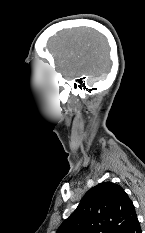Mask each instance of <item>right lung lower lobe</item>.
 I'll list each match as a JSON object with an SVG mask.
<instances>
[{"label": "right lung lower lobe", "mask_w": 145, "mask_h": 233, "mask_svg": "<svg viewBox=\"0 0 145 233\" xmlns=\"http://www.w3.org/2000/svg\"><path fill=\"white\" fill-rule=\"evenodd\" d=\"M126 233H142L138 219L136 218Z\"/></svg>", "instance_id": "obj_1"}]
</instances>
